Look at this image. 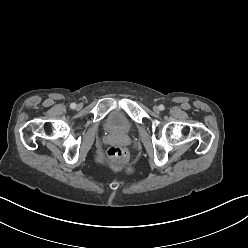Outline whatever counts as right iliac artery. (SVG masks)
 <instances>
[{"label":"right iliac artery","instance_id":"right-iliac-artery-1","mask_svg":"<svg viewBox=\"0 0 248 248\" xmlns=\"http://www.w3.org/2000/svg\"><path fill=\"white\" fill-rule=\"evenodd\" d=\"M70 107H71L72 109H74V108L76 107V104H75V103H72V104L70 105Z\"/></svg>","mask_w":248,"mask_h":248}]
</instances>
